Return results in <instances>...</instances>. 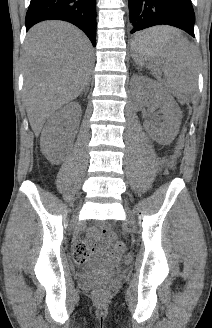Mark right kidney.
<instances>
[{
  "instance_id": "obj_1",
  "label": "right kidney",
  "mask_w": 212,
  "mask_h": 328,
  "mask_svg": "<svg viewBox=\"0 0 212 328\" xmlns=\"http://www.w3.org/2000/svg\"><path fill=\"white\" fill-rule=\"evenodd\" d=\"M81 113V106L78 102H72L54 113L42 131L43 149H55L62 141L66 145L70 143L77 133Z\"/></svg>"
}]
</instances>
